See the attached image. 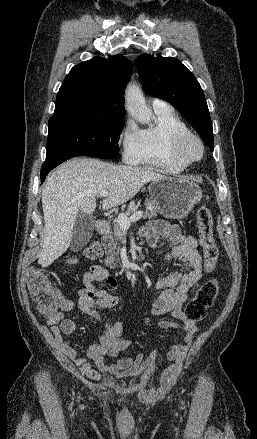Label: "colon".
<instances>
[{
	"instance_id": "colon-1",
	"label": "colon",
	"mask_w": 257,
	"mask_h": 439,
	"mask_svg": "<svg viewBox=\"0 0 257 439\" xmlns=\"http://www.w3.org/2000/svg\"><path fill=\"white\" fill-rule=\"evenodd\" d=\"M200 246L202 248L205 269L207 272L214 270L218 260V247L213 235V217L208 207H201L197 212L196 219ZM83 254L87 258H95L101 254V246L97 240L90 242ZM68 263L73 264L75 257H69ZM27 285L31 294L40 301V310L46 315L54 311L53 300H55L56 289L48 279L47 275L32 268L27 275ZM219 286L216 279H210L200 286L195 296L186 304L184 309V321L196 323L202 320L208 308L213 304Z\"/></svg>"
}]
</instances>
